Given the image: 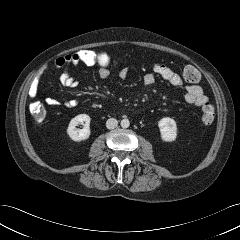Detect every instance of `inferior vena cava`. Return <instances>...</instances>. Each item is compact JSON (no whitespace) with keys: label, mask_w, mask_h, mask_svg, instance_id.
<instances>
[{"label":"inferior vena cava","mask_w":240,"mask_h":240,"mask_svg":"<svg viewBox=\"0 0 240 240\" xmlns=\"http://www.w3.org/2000/svg\"><path fill=\"white\" fill-rule=\"evenodd\" d=\"M117 125H118V121L114 118H110L106 121V127L108 129H114L117 127Z\"/></svg>","instance_id":"602c4592"}]
</instances>
